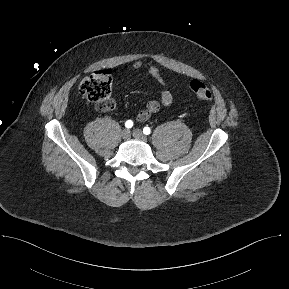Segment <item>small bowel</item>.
Listing matches in <instances>:
<instances>
[{"mask_svg":"<svg viewBox=\"0 0 289 289\" xmlns=\"http://www.w3.org/2000/svg\"><path fill=\"white\" fill-rule=\"evenodd\" d=\"M143 68L151 77H153L161 85H165L166 82L162 77L159 69L151 63H144L143 61H135L131 63L128 70H135ZM125 69H121L120 72H125ZM173 102V94L170 90L165 89L162 91L160 101L150 100L147 102L144 109H142L136 116V121L143 122L149 119L153 114L157 113L162 106H169Z\"/></svg>","mask_w":289,"mask_h":289,"instance_id":"c3829d8e","label":"small bowel"}]
</instances>
